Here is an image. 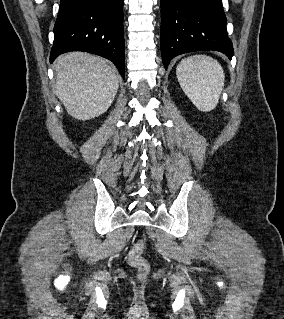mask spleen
<instances>
[{"instance_id":"obj_1","label":"spleen","mask_w":284,"mask_h":319,"mask_svg":"<svg viewBox=\"0 0 284 319\" xmlns=\"http://www.w3.org/2000/svg\"><path fill=\"white\" fill-rule=\"evenodd\" d=\"M178 82L192 103L203 112L213 110L224 87V71L217 60L206 55L183 59L176 68Z\"/></svg>"}]
</instances>
